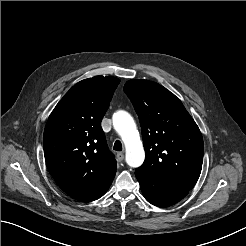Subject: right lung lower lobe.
<instances>
[{
  "mask_svg": "<svg viewBox=\"0 0 246 246\" xmlns=\"http://www.w3.org/2000/svg\"><path fill=\"white\" fill-rule=\"evenodd\" d=\"M105 192L72 193L68 195L76 200L83 201V202H89V201H94L100 198L101 196L104 195Z\"/></svg>",
  "mask_w": 246,
  "mask_h": 246,
  "instance_id": "98d812e1",
  "label": "right lung lower lobe"
}]
</instances>
